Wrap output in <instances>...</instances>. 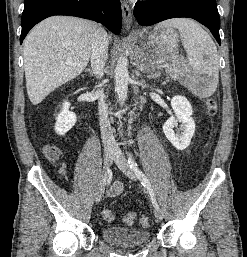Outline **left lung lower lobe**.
Returning a JSON list of instances; mask_svg holds the SVG:
<instances>
[{
	"mask_svg": "<svg viewBox=\"0 0 247 257\" xmlns=\"http://www.w3.org/2000/svg\"><path fill=\"white\" fill-rule=\"evenodd\" d=\"M134 15L143 26L177 17L195 19L205 25L221 45L220 17L215 0H146L135 4Z\"/></svg>",
	"mask_w": 247,
	"mask_h": 257,
	"instance_id": "1",
	"label": "left lung lower lobe"
}]
</instances>
